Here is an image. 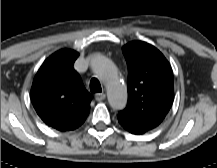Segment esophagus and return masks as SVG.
<instances>
[{
	"label": "esophagus",
	"instance_id": "obj_1",
	"mask_svg": "<svg viewBox=\"0 0 217 168\" xmlns=\"http://www.w3.org/2000/svg\"><path fill=\"white\" fill-rule=\"evenodd\" d=\"M106 98L105 93H97L95 94V100L100 102L103 101Z\"/></svg>",
	"mask_w": 217,
	"mask_h": 168
}]
</instances>
